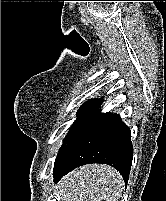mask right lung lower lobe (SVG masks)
<instances>
[{"label":"right lung lower lobe","mask_w":166,"mask_h":201,"mask_svg":"<svg viewBox=\"0 0 166 201\" xmlns=\"http://www.w3.org/2000/svg\"><path fill=\"white\" fill-rule=\"evenodd\" d=\"M131 132L117 114L98 109L59 150L54 164V180L78 166L104 163L114 167L128 182L133 147Z\"/></svg>","instance_id":"1"}]
</instances>
